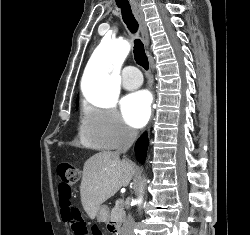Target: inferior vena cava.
Wrapping results in <instances>:
<instances>
[{
	"instance_id": "602c4592",
	"label": "inferior vena cava",
	"mask_w": 250,
	"mask_h": 235,
	"mask_svg": "<svg viewBox=\"0 0 250 235\" xmlns=\"http://www.w3.org/2000/svg\"><path fill=\"white\" fill-rule=\"evenodd\" d=\"M137 138V132L124 126L122 128V137L120 146L118 147L117 151L115 152L117 155L122 153H126L127 150L132 146L134 141ZM134 228H135V221L131 214H128L126 221L122 227V235H134Z\"/></svg>"
}]
</instances>
